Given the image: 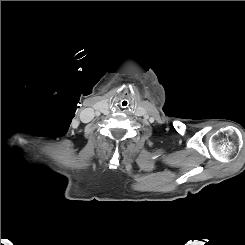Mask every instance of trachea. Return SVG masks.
I'll return each instance as SVG.
<instances>
[{"instance_id": "1", "label": "trachea", "mask_w": 245, "mask_h": 245, "mask_svg": "<svg viewBox=\"0 0 245 245\" xmlns=\"http://www.w3.org/2000/svg\"><path fill=\"white\" fill-rule=\"evenodd\" d=\"M128 106H129V101H128L127 99L121 100V102H120V107H121V108L125 109V108H127Z\"/></svg>"}]
</instances>
